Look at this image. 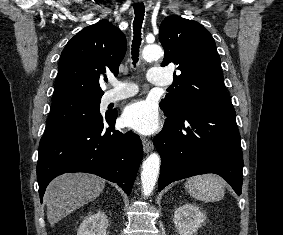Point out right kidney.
Masks as SVG:
<instances>
[{"instance_id":"right-kidney-1","label":"right kidney","mask_w":283,"mask_h":235,"mask_svg":"<svg viewBox=\"0 0 283 235\" xmlns=\"http://www.w3.org/2000/svg\"><path fill=\"white\" fill-rule=\"evenodd\" d=\"M107 227V216L103 212H97L84 218L77 235H106Z\"/></svg>"}]
</instances>
